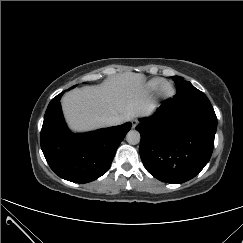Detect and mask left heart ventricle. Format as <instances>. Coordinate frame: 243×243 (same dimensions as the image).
Wrapping results in <instances>:
<instances>
[{
	"instance_id": "b2bd125f",
	"label": "left heart ventricle",
	"mask_w": 243,
	"mask_h": 243,
	"mask_svg": "<svg viewBox=\"0 0 243 243\" xmlns=\"http://www.w3.org/2000/svg\"><path fill=\"white\" fill-rule=\"evenodd\" d=\"M167 92H169L170 91V88H167V90H166Z\"/></svg>"
}]
</instances>
